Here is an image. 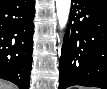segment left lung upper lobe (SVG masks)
Wrapping results in <instances>:
<instances>
[{
	"label": "left lung upper lobe",
	"mask_w": 107,
	"mask_h": 89,
	"mask_svg": "<svg viewBox=\"0 0 107 89\" xmlns=\"http://www.w3.org/2000/svg\"><path fill=\"white\" fill-rule=\"evenodd\" d=\"M101 1L107 2V0H101Z\"/></svg>",
	"instance_id": "5c2ea615"
}]
</instances>
